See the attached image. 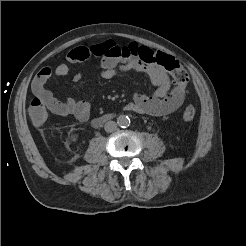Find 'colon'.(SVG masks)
<instances>
[{
    "label": "colon",
    "instance_id": "1",
    "mask_svg": "<svg viewBox=\"0 0 246 246\" xmlns=\"http://www.w3.org/2000/svg\"><path fill=\"white\" fill-rule=\"evenodd\" d=\"M137 57L144 63L157 64L161 66L173 79L174 84L181 89L187 88L188 74L185 69L172 56L160 51L154 52L147 47H139ZM49 112V105L41 93L31 100L29 106V114L35 125H42ZM196 114V110L192 105L187 106L182 113V120L185 123L191 122Z\"/></svg>",
    "mask_w": 246,
    "mask_h": 246
}]
</instances>
